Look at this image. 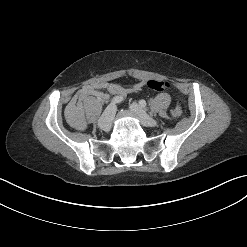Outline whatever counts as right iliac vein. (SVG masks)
<instances>
[{
	"label": "right iliac vein",
	"instance_id": "obj_1",
	"mask_svg": "<svg viewBox=\"0 0 247 247\" xmlns=\"http://www.w3.org/2000/svg\"><path fill=\"white\" fill-rule=\"evenodd\" d=\"M115 106L114 104H110L107 109L104 111L102 116L98 121V127L104 131H109L111 128L112 118L115 113Z\"/></svg>",
	"mask_w": 247,
	"mask_h": 247
}]
</instances>
